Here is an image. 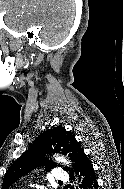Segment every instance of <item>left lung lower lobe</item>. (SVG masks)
I'll use <instances>...</instances> for the list:
<instances>
[{
	"label": "left lung lower lobe",
	"mask_w": 124,
	"mask_h": 189,
	"mask_svg": "<svg viewBox=\"0 0 124 189\" xmlns=\"http://www.w3.org/2000/svg\"><path fill=\"white\" fill-rule=\"evenodd\" d=\"M76 174L79 175L81 188L83 189H98L99 188V185L97 182L98 177L95 174L92 162L90 161L89 157L86 154L83 157H81L79 166L76 170ZM72 178L74 177L72 176Z\"/></svg>",
	"instance_id": "0a47b994"
}]
</instances>
